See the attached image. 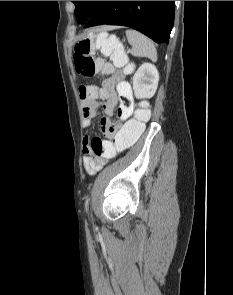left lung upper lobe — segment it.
I'll return each instance as SVG.
<instances>
[{"mask_svg": "<svg viewBox=\"0 0 233 295\" xmlns=\"http://www.w3.org/2000/svg\"><path fill=\"white\" fill-rule=\"evenodd\" d=\"M75 4V16L78 23L84 24L95 12L100 1H72Z\"/></svg>", "mask_w": 233, "mask_h": 295, "instance_id": "left-lung-upper-lobe-1", "label": "left lung upper lobe"}]
</instances>
